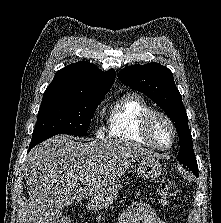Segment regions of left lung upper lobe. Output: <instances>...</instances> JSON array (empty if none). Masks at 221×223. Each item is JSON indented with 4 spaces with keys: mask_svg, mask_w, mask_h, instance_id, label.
Here are the masks:
<instances>
[{
    "mask_svg": "<svg viewBox=\"0 0 221 223\" xmlns=\"http://www.w3.org/2000/svg\"><path fill=\"white\" fill-rule=\"evenodd\" d=\"M118 78L126 86L152 99L175 122L180 141L177 160L198 176L188 117L172 72L158 63H149L128 66L118 73Z\"/></svg>",
    "mask_w": 221,
    "mask_h": 223,
    "instance_id": "left-lung-upper-lobe-1",
    "label": "left lung upper lobe"
}]
</instances>
